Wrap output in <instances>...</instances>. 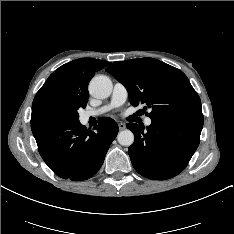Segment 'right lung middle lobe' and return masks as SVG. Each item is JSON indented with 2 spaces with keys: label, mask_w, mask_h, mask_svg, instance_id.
<instances>
[{
  "label": "right lung middle lobe",
  "mask_w": 234,
  "mask_h": 234,
  "mask_svg": "<svg viewBox=\"0 0 234 234\" xmlns=\"http://www.w3.org/2000/svg\"><path fill=\"white\" fill-rule=\"evenodd\" d=\"M86 98H61L53 101L48 109V119L79 121V108H85Z\"/></svg>",
  "instance_id": "obj_1"
}]
</instances>
